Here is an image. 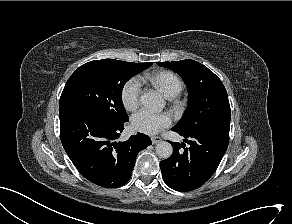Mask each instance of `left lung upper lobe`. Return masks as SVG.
<instances>
[{
	"label": "left lung upper lobe",
	"mask_w": 292,
	"mask_h": 224,
	"mask_svg": "<svg viewBox=\"0 0 292 224\" xmlns=\"http://www.w3.org/2000/svg\"><path fill=\"white\" fill-rule=\"evenodd\" d=\"M159 66L178 73L189 93V107L172 129L182 134L227 135L231 110L221 80L207 67L194 60L158 62Z\"/></svg>",
	"instance_id": "obj_1"
}]
</instances>
